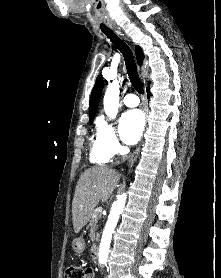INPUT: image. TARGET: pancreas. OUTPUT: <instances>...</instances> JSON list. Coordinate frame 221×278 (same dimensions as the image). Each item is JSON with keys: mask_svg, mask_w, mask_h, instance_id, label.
Returning <instances> with one entry per match:
<instances>
[{"mask_svg": "<svg viewBox=\"0 0 221 278\" xmlns=\"http://www.w3.org/2000/svg\"><path fill=\"white\" fill-rule=\"evenodd\" d=\"M99 217H100V215H99V213L97 212V211H95L94 213H93V216H92V219H91V226L92 227H94L96 224V222H97V220L99 219Z\"/></svg>", "mask_w": 221, "mask_h": 278, "instance_id": "obj_1", "label": "pancreas"}]
</instances>
